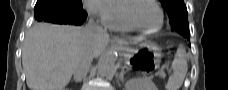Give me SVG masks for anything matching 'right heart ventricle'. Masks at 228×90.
<instances>
[{"mask_svg":"<svg viewBox=\"0 0 228 90\" xmlns=\"http://www.w3.org/2000/svg\"><path fill=\"white\" fill-rule=\"evenodd\" d=\"M126 0H114L111 1V8H112V17L107 24V27L114 31H131L128 26H126L120 18V6Z\"/></svg>","mask_w":228,"mask_h":90,"instance_id":"right-heart-ventricle-1","label":"right heart ventricle"}]
</instances>
